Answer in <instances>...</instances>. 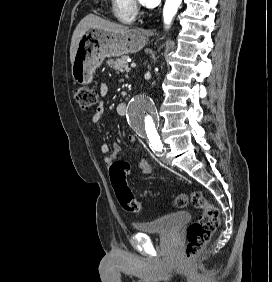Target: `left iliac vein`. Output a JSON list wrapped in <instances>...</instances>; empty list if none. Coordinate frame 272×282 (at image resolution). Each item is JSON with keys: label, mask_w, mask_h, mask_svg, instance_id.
I'll return each instance as SVG.
<instances>
[{"label": "left iliac vein", "mask_w": 272, "mask_h": 282, "mask_svg": "<svg viewBox=\"0 0 272 282\" xmlns=\"http://www.w3.org/2000/svg\"><path fill=\"white\" fill-rule=\"evenodd\" d=\"M166 153H167V151H166V149H164L163 152H162V161H163V163H165V164L168 163V160H167V158H166V156H165Z\"/></svg>", "instance_id": "4c4485c4"}]
</instances>
